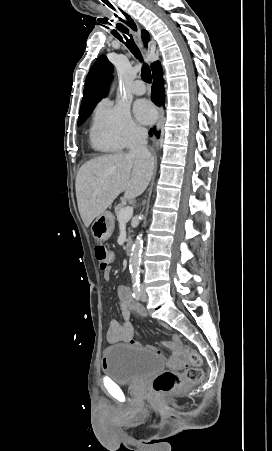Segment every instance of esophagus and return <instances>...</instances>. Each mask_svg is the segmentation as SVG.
Returning a JSON list of instances; mask_svg holds the SVG:
<instances>
[{
	"instance_id": "esophagus-1",
	"label": "esophagus",
	"mask_w": 272,
	"mask_h": 451,
	"mask_svg": "<svg viewBox=\"0 0 272 451\" xmlns=\"http://www.w3.org/2000/svg\"><path fill=\"white\" fill-rule=\"evenodd\" d=\"M131 20H132L133 23H134L133 26H134V27H138L136 21L133 20L132 18H131ZM132 30H133V29H132ZM162 117H163V107H159V120H158V123H157V130H159V128H160Z\"/></svg>"
}]
</instances>
